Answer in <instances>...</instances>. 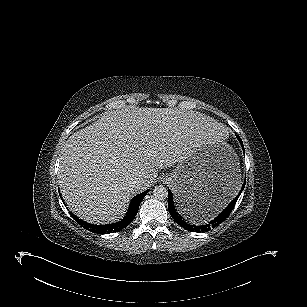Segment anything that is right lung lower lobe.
<instances>
[{"instance_id":"98d812e1","label":"right lung lower lobe","mask_w":307,"mask_h":307,"mask_svg":"<svg viewBox=\"0 0 307 307\" xmlns=\"http://www.w3.org/2000/svg\"><path fill=\"white\" fill-rule=\"evenodd\" d=\"M147 193H148V190L136 195L130 202V206H129L126 216L117 223L108 224V225H94V224H90V223H87L79 219L77 216H75L71 212L70 214L79 225H81L83 228L91 232L98 233V234H109V233L118 232L122 230L123 228H126L135 218L138 212L140 203Z\"/></svg>"}]
</instances>
